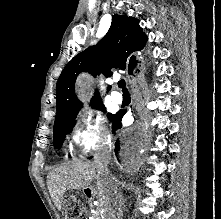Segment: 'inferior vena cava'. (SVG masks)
<instances>
[{
	"instance_id": "1",
	"label": "inferior vena cava",
	"mask_w": 221,
	"mask_h": 219,
	"mask_svg": "<svg viewBox=\"0 0 221 219\" xmlns=\"http://www.w3.org/2000/svg\"><path fill=\"white\" fill-rule=\"evenodd\" d=\"M112 146L110 140H103L95 153L94 165L97 168V173L111 180L110 191H114V199L112 206L105 213L106 219H122V207L124 206V198L120 190V180L117 175H111L108 170V164L111 158Z\"/></svg>"
}]
</instances>
